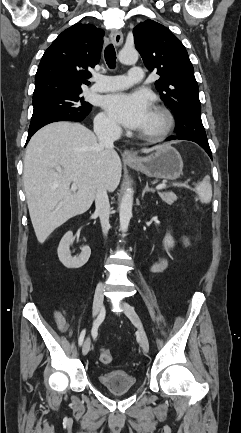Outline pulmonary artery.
Here are the masks:
<instances>
[{
    "instance_id": "e3ab8cb5",
    "label": "pulmonary artery",
    "mask_w": 241,
    "mask_h": 433,
    "mask_svg": "<svg viewBox=\"0 0 241 433\" xmlns=\"http://www.w3.org/2000/svg\"><path fill=\"white\" fill-rule=\"evenodd\" d=\"M144 79L143 69L140 66H132L127 76L124 75H100L96 77V83L91 87L94 92H107L126 89L134 84H139Z\"/></svg>"
}]
</instances>
